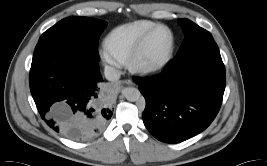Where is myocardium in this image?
I'll use <instances>...</instances> for the list:
<instances>
[{
    "label": "myocardium",
    "mask_w": 267,
    "mask_h": 166,
    "mask_svg": "<svg viewBox=\"0 0 267 166\" xmlns=\"http://www.w3.org/2000/svg\"><path fill=\"white\" fill-rule=\"evenodd\" d=\"M160 29L167 30L170 34V37H171L170 47H169V50H168L166 56L162 60H160L156 63H152V64L141 63L139 61V59H140L141 54L143 53V51H144V49H145V47L149 41V39L152 37V35L155 32H157ZM175 46H176V39H175V34H174L173 30L166 25H161V24L156 25L154 28L149 30L141 38V40L138 42V44L132 50V52L128 56L127 65L131 70H133L134 72L139 73V74L147 75V74L155 73V72L163 69L170 62V60L172 59L173 54H174Z\"/></svg>",
    "instance_id": "obj_1"
}]
</instances>
